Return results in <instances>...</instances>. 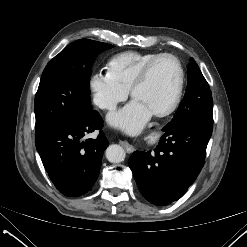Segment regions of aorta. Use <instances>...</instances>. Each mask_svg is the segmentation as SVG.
<instances>
[{"label":"aorta","mask_w":247,"mask_h":247,"mask_svg":"<svg viewBox=\"0 0 247 247\" xmlns=\"http://www.w3.org/2000/svg\"><path fill=\"white\" fill-rule=\"evenodd\" d=\"M124 149L117 144L110 145L106 149V158L111 163H120L125 159Z\"/></svg>","instance_id":"obj_1"}]
</instances>
